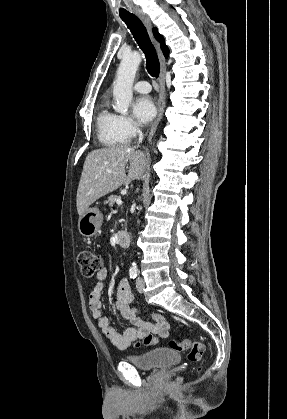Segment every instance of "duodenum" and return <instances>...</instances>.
<instances>
[{
	"instance_id": "duodenum-1",
	"label": "duodenum",
	"mask_w": 287,
	"mask_h": 419,
	"mask_svg": "<svg viewBox=\"0 0 287 419\" xmlns=\"http://www.w3.org/2000/svg\"><path fill=\"white\" fill-rule=\"evenodd\" d=\"M116 242L121 248H128L130 245V235L125 231H121L116 236Z\"/></svg>"
}]
</instances>
